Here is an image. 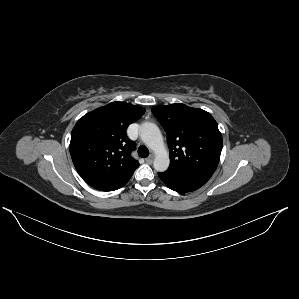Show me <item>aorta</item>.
I'll list each match as a JSON object with an SVG mask.
<instances>
[{
  "label": "aorta",
  "instance_id": "762f6f07",
  "mask_svg": "<svg viewBox=\"0 0 299 299\" xmlns=\"http://www.w3.org/2000/svg\"><path fill=\"white\" fill-rule=\"evenodd\" d=\"M140 138L155 153L154 169L158 172L166 171L170 160L158 126L151 122L143 123L140 127Z\"/></svg>",
  "mask_w": 299,
  "mask_h": 299
}]
</instances>
